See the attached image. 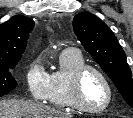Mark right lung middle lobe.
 <instances>
[{"label":"right lung middle lobe","mask_w":133,"mask_h":118,"mask_svg":"<svg viewBox=\"0 0 133 118\" xmlns=\"http://www.w3.org/2000/svg\"><path fill=\"white\" fill-rule=\"evenodd\" d=\"M19 60L0 61V97L9 93L17 86V81L11 75L12 69Z\"/></svg>","instance_id":"1"}]
</instances>
